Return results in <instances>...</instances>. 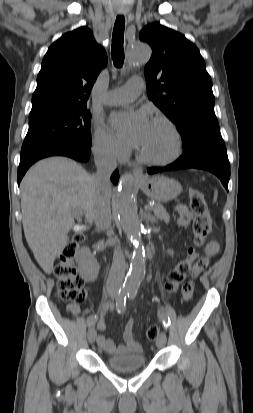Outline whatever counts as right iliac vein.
<instances>
[{"label": "right iliac vein", "mask_w": 253, "mask_h": 413, "mask_svg": "<svg viewBox=\"0 0 253 413\" xmlns=\"http://www.w3.org/2000/svg\"><path fill=\"white\" fill-rule=\"evenodd\" d=\"M96 335H97V333H96L95 328H94V327H90L89 330H88L87 336H88V340H89V342H90L91 344L95 342Z\"/></svg>", "instance_id": "obj_1"}]
</instances>
